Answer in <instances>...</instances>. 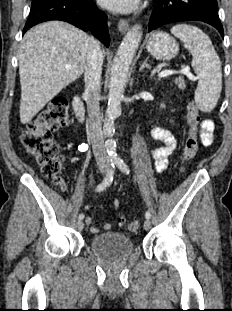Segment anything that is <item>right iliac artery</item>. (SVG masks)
<instances>
[{
    "mask_svg": "<svg viewBox=\"0 0 232 311\" xmlns=\"http://www.w3.org/2000/svg\"><path fill=\"white\" fill-rule=\"evenodd\" d=\"M87 149V146H85V150ZM115 162L111 160L110 162V169L106 175V177L104 178V180L102 181V183H100L97 187H96V191L97 192H101L104 189H106L112 182L113 180V175H114V169H115ZM84 218V215L81 213L78 216L79 220H82Z\"/></svg>",
    "mask_w": 232,
    "mask_h": 311,
    "instance_id": "1",
    "label": "right iliac artery"
}]
</instances>
